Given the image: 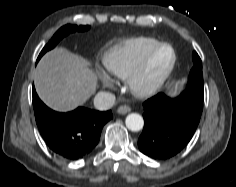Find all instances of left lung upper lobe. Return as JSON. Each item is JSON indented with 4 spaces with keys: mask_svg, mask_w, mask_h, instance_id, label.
<instances>
[{
    "mask_svg": "<svg viewBox=\"0 0 236 187\" xmlns=\"http://www.w3.org/2000/svg\"><path fill=\"white\" fill-rule=\"evenodd\" d=\"M194 66L190 71L186 91H189L201 99H204V85L202 74V62L198 54L193 52Z\"/></svg>",
    "mask_w": 236,
    "mask_h": 187,
    "instance_id": "left-lung-upper-lobe-1",
    "label": "left lung upper lobe"
}]
</instances>
